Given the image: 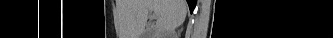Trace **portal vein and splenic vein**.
<instances>
[{
    "instance_id": "1",
    "label": "portal vein and splenic vein",
    "mask_w": 333,
    "mask_h": 38,
    "mask_svg": "<svg viewBox=\"0 0 333 38\" xmlns=\"http://www.w3.org/2000/svg\"><path fill=\"white\" fill-rule=\"evenodd\" d=\"M152 17H153V18H156V13H153Z\"/></svg>"
}]
</instances>
